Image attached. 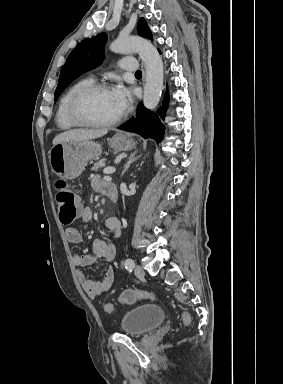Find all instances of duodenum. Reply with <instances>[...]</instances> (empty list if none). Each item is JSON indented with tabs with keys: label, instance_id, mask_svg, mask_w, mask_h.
I'll return each mask as SVG.
<instances>
[{
	"label": "duodenum",
	"instance_id": "duodenum-1",
	"mask_svg": "<svg viewBox=\"0 0 283 384\" xmlns=\"http://www.w3.org/2000/svg\"><path fill=\"white\" fill-rule=\"evenodd\" d=\"M104 194L107 195L113 202L118 201L117 187L112 183H107L104 188Z\"/></svg>",
	"mask_w": 283,
	"mask_h": 384
}]
</instances>
